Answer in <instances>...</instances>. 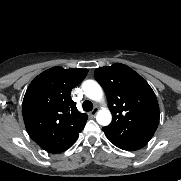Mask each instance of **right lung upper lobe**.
I'll return each instance as SVG.
<instances>
[{
  "label": "right lung upper lobe",
  "instance_id": "obj_1",
  "mask_svg": "<svg viewBox=\"0 0 181 181\" xmlns=\"http://www.w3.org/2000/svg\"><path fill=\"white\" fill-rule=\"evenodd\" d=\"M87 69L50 68L33 79L25 93L22 114L29 136L45 151L61 153L78 138L88 116L80 113L71 90Z\"/></svg>",
  "mask_w": 181,
  "mask_h": 181
}]
</instances>
